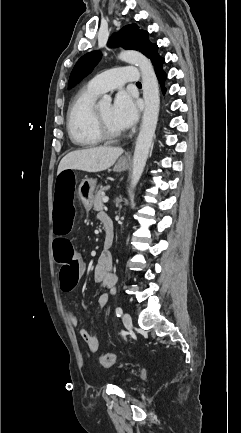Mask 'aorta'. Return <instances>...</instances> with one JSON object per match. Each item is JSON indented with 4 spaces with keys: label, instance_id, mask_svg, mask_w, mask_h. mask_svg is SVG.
Segmentation results:
<instances>
[{
    "label": "aorta",
    "instance_id": "1",
    "mask_svg": "<svg viewBox=\"0 0 241 433\" xmlns=\"http://www.w3.org/2000/svg\"><path fill=\"white\" fill-rule=\"evenodd\" d=\"M118 57L124 62L138 66L142 76L145 108L133 155L131 187L134 188L144 171L157 126L160 106L159 86L151 62L143 54L137 51L128 50L122 51ZM99 103L102 105H108L111 103V97L109 95H104Z\"/></svg>",
    "mask_w": 241,
    "mask_h": 433
}]
</instances>
